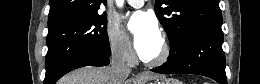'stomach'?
I'll return each instance as SVG.
<instances>
[{
    "instance_id": "0dacf381",
    "label": "stomach",
    "mask_w": 260,
    "mask_h": 84,
    "mask_svg": "<svg viewBox=\"0 0 260 84\" xmlns=\"http://www.w3.org/2000/svg\"><path fill=\"white\" fill-rule=\"evenodd\" d=\"M154 84H182V82L173 78H165L157 79Z\"/></svg>"
}]
</instances>
